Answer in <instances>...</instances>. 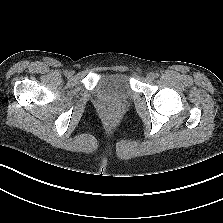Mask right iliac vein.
<instances>
[{
    "label": "right iliac vein",
    "instance_id": "63e3f726",
    "mask_svg": "<svg viewBox=\"0 0 223 223\" xmlns=\"http://www.w3.org/2000/svg\"><path fill=\"white\" fill-rule=\"evenodd\" d=\"M68 76H71L72 75V73L71 72H68V74H67Z\"/></svg>",
    "mask_w": 223,
    "mask_h": 223
}]
</instances>
